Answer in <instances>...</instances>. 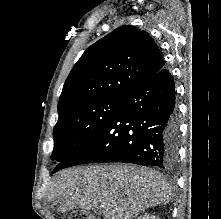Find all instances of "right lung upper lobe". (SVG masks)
<instances>
[{
	"label": "right lung upper lobe",
	"instance_id": "1",
	"mask_svg": "<svg viewBox=\"0 0 221 219\" xmlns=\"http://www.w3.org/2000/svg\"><path fill=\"white\" fill-rule=\"evenodd\" d=\"M164 67L158 46L146 31L118 27L83 53L71 70L58 113L92 100L122 98Z\"/></svg>",
	"mask_w": 221,
	"mask_h": 219
}]
</instances>
